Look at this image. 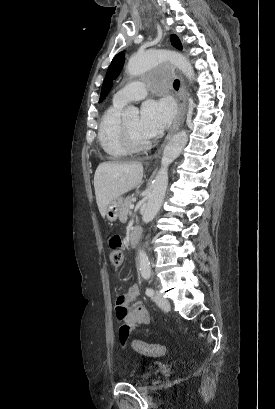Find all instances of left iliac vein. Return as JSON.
Returning a JSON list of instances; mask_svg holds the SVG:
<instances>
[{
  "label": "left iliac vein",
  "mask_w": 275,
  "mask_h": 409,
  "mask_svg": "<svg viewBox=\"0 0 275 409\" xmlns=\"http://www.w3.org/2000/svg\"><path fill=\"white\" fill-rule=\"evenodd\" d=\"M153 301L160 307L161 309H164L168 311L170 309V305L168 302V299L163 297L159 292H156L155 295L153 296Z\"/></svg>",
  "instance_id": "1"
}]
</instances>
